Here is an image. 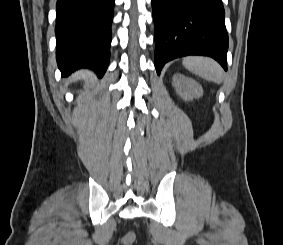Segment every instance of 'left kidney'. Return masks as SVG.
<instances>
[{
  "mask_svg": "<svg viewBox=\"0 0 283 245\" xmlns=\"http://www.w3.org/2000/svg\"><path fill=\"white\" fill-rule=\"evenodd\" d=\"M172 85L185 101L199 98L203 95L202 86L197 81L181 74L173 76Z\"/></svg>",
  "mask_w": 283,
  "mask_h": 245,
  "instance_id": "left-kidney-1",
  "label": "left kidney"
}]
</instances>
